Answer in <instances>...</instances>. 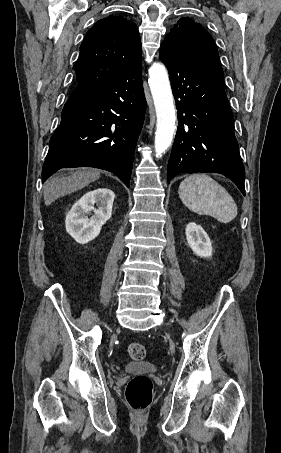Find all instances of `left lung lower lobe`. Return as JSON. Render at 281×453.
<instances>
[{
  "instance_id": "left-lung-lower-lobe-1",
  "label": "left lung lower lobe",
  "mask_w": 281,
  "mask_h": 453,
  "mask_svg": "<svg viewBox=\"0 0 281 453\" xmlns=\"http://www.w3.org/2000/svg\"><path fill=\"white\" fill-rule=\"evenodd\" d=\"M178 110L167 181L180 173H220L245 195V170L234 135L224 74L215 64H192L161 47Z\"/></svg>"
}]
</instances>
